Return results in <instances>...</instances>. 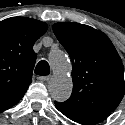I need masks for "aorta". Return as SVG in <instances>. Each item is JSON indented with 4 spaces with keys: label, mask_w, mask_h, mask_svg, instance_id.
Wrapping results in <instances>:
<instances>
[{
    "label": "aorta",
    "mask_w": 125,
    "mask_h": 125,
    "mask_svg": "<svg viewBox=\"0 0 125 125\" xmlns=\"http://www.w3.org/2000/svg\"><path fill=\"white\" fill-rule=\"evenodd\" d=\"M54 75L48 83L51 97L59 102L67 100L72 92L71 63L63 51L55 50L49 54Z\"/></svg>",
    "instance_id": "762f6f07"
}]
</instances>
